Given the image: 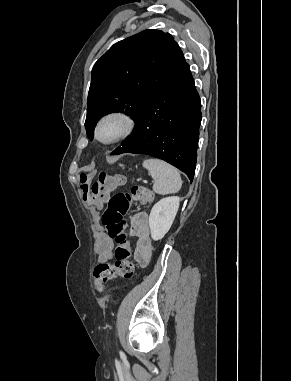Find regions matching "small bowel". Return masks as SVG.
Wrapping results in <instances>:
<instances>
[{"instance_id": "1", "label": "small bowel", "mask_w": 291, "mask_h": 381, "mask_svg": "<svg viewBox=\"0 0 291 381\" xmlns=\"http://www.w3.org/2000/svg\"><path fill=\"white\" fill-rule=\"evenodd\" d=\"M131 233L137 238L136 259L141 265H146L151 257L149 219L146 212H138L131 219ZM113 241L106 234H100L98 240V259L101 262L112 258Z\"/></svg>"}]
</instances>
